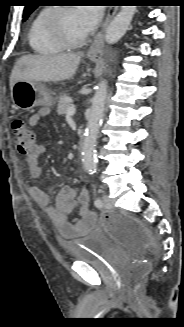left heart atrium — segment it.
Returning a JSON list of instances; mask_svg holds the SVG:
<instances>
[{
    "instance_id": "left-heart-atrium-1",
    "label": "left heart atrium",
    "mask_w": 184,
    "mask_h": 327,
    "mask_svg": "<svg viewBox=\"0 0 184 327\" xmlns=\"http://www.w3.org/2000/svg\"><path fill=\"white\" fill-rule=\"evenodd\" d=\"M75 11L87 32L93 30L102 18V11L98 7H78Z\"/></svg>"
}]
</instances>
